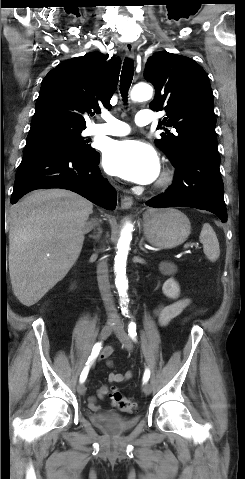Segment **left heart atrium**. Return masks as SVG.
I'll return each mask as SVG.
<instances>
[{
  "mask_svg": "<svg viewBox=\"0 0 245 479\" xmlns=\"http://www.w3.org/2000/svg\"><path fill=\"white\" fill-rule=\"evenodd\" d=\"M103 167L108 173L139 184L153 182L160 171L154 149L131 139L110 142L104 149Z\"/></svg>",
  "mask_w": 245,
  "mask_h": 479,
  "instance_id": "39dd6f15",
  "label": "left heart atrium"
}]
</instances>
